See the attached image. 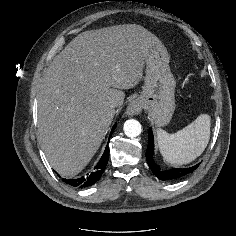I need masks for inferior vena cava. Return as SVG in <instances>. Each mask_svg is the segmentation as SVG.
<instances>
[{
  "label": "inferior vena cava",
  "mask_w": 236,
  "mask_h": 236,
  "mask_svg": "<svg viewBox=\"0 0 236 236\" xmlns=\"http://www.w3.org/2000/svg\"><path fill=\"white\" fill-rule=\"evenodd\" d=\"M114 107H116V104L114 103L110 104V108L114 109Z\"/></svg>",
  "instance_id": "inferior-vena-cava-1"
}]
</instances>
